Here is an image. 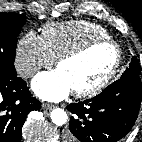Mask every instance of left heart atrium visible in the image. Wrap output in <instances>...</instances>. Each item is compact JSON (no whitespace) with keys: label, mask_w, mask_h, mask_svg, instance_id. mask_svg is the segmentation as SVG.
<instances>
[{"label":"left heart atrium","mask_w":142,"mask_h":142,"mask_svg":"<svg viewBox=\"0 0 142 142\" xmlns=\"http://www.w3.org/2000/svg\"><path fill=\"white\" fill-rule=\"evenodd\" d=\"M32 89L37 96L47 101L62 100L73 90L59 69L38 74L32 82Z\"/></svg>","instance_id":"1"}]
</instances>
